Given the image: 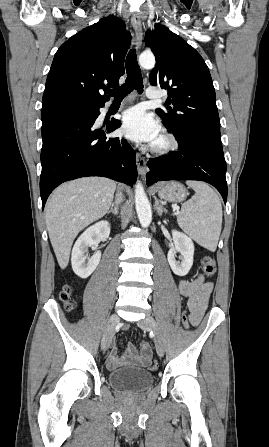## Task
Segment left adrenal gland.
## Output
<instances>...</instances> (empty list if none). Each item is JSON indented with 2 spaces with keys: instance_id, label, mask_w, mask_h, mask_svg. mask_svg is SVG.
<instances>
[{
  "instance_id": "obj_1",
  "label": "left adrenal gland",
  "mask_w": 269,
  "mask_h": 447,
  "mask_svg": "<svg viewBox=\"0 0 269 447\" xmlns=\"http://www.w3.org/2000/svg\"><path fill=\"white\" fill-rule=\"evenodd\" d=\"M155 210H157L158 216H162V214H166L167 212L166 208H163V206L159 204L157 198H155Z\"/></svg>"
}]
</instances>
